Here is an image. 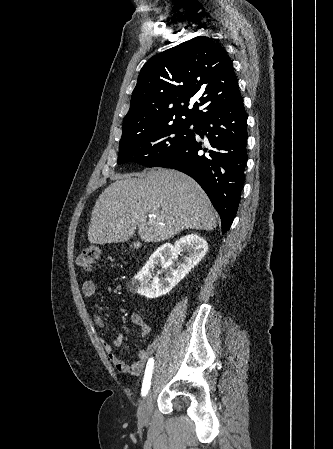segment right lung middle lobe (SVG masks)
<instances>
[{"label":"right lung middle lobe","mask_w":333,"mask_h":449,"mask_svg":"<svg viewBox=\"0 0 333 449\" xmlns=\"http://www.w3.org/2000/svg\"><path fill=\"white\" fill-rule=\"evenodd\" d=\"M190 125H194L196 131L197 122L174 120L120 141L117 163L134 162L146 167L157 166L194 135V131L189 129Z\"/></svg>","instance_id":"right-lung-middle-lobe-1"}]
</instances>
